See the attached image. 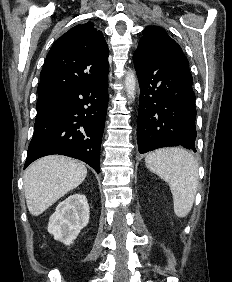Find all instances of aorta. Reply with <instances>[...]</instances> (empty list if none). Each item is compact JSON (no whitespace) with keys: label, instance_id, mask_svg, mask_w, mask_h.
Instances as JSON below:
<instances>
[{"label":"aorta","instance_id":"aorta-1","mask_svg":"<svg viewBox=\"0 0 232 282\" xmlns=\"http://www.w3.org/2000/svg\"><path fill=\"white\" fill-rule=\"evenodd\" d=\"M125 90L129 99L135 98L136 93V76L132 70H129L124 80Z\"/></svg>","mask_w":232,"mask_h":282}]
</instances>
